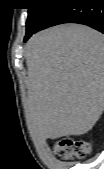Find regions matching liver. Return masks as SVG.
<instances>
[{
    "label": "liver",
    "instance_id": "liver-1",
    "mask_svg": "<svg viewBox=\"0 0 104 169\" xmlns=\"http://www.w3.org/2000/svg\"><path fill=\"white\" fill-rule=\"evenodd\" d=\"M31 129L41 140L90 131L104 109V36L65 24L25 45Z\"/></svg>",
    "mask_w": 104,
    "mask_h": 169
}]
</instances>
